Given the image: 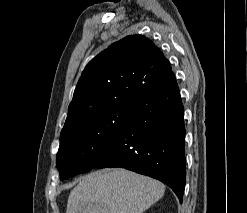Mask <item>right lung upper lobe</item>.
<instances>
[{
    "label": "right lung upper lobe",
    "mask_w": 247,
    "mask_h": 213,
    "mask_svg": "<svg viewBox=\"0 0 247 213\" xmlns=\"http://www.w3.org/2000/svg\"><path fill=\"white\" fill-rule=\"evenodd\" d=\"M173 77L169 61L145 36H127L113 43L82 72L61 134Z\"/></svg>",
    "instance_id": "1"
}]
</instances>
